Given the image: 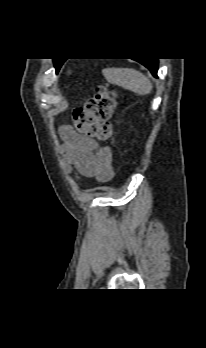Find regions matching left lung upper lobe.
<instances>
[{
	"label": "left lung upper lobe",
	"mask_w": 206,
	"mask_h": 348,
	"mask_svg": "<svg viewBox=\"0 0 206 348\" xmlns=\"http://www.w3.org/2000/svg\"><path fill=\"white\" fill-rule=\"evenodd\" d=\"M63 62H64V60L54 59V66H55L57 71L60 69V67L63 64Z\"/></svg>",
	"instance_id": "left-lung-upper-lobe-1"
}]
</instances>
